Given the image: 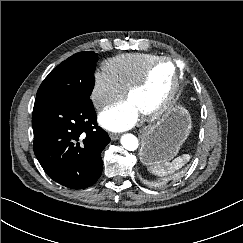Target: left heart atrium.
<instances>
[{
	"mask_svg": "<svg viewBox=\"0 0 243 243\" xmlns=\"http://www.w3.org/2000/svg\"><path fill=\"white\" fill-rule=\"evenodd\" d=\"M141 112L129 100L117 103L103 111L99 116L100 123L112 131H122L132 127Z\"/></svg>",
	"mask_w": 243,
	"mask_h": 243,
	"instance_id": "obj_1",
	"label": "left heart atrium"
}]
</instances>
